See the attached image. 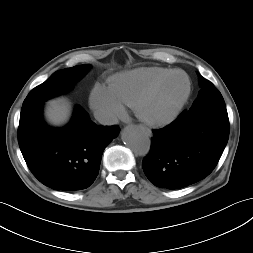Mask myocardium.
<instances>
[{"instance_id": "f54148a6", "label": "myocardium", "mask_w": 253, "mask_h": 253, "mask_svg": "<svg viewBox=\"0 0 253 253\" xmlns=\"http://www.w3.org/2000/svg\"><path fill=\"white\" fill-rule=\"evenodd\" d=\"M183 75L187 82V89L182 98L177 102L174 108L164 116H154L149 113L148 106L156 93L174 76ZM191 94V80L186 72L182 70H174L167 74L156 83H154L139 99L136 105L138 116L146 123L153 126H165L173 122L183 110Z\"/></svg>"}]
</instances>
